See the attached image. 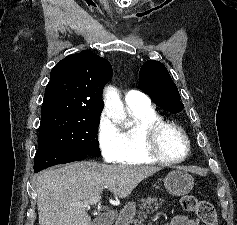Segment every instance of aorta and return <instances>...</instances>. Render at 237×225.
I'll return each instance as SVG.
<instances>
[{
	"label": "aorta",
	"mask_w": 237,
	"mask_h": 225,
	"mask_svg": "<svg viewBox=\"0 0 237 225\" xmlns=\"http://www.w3.org/2000/svg\"><path fill=\"white\" fill-rule=\"evenodd\" d=\"M104 111L107 116L114 122L121 123L126 121L127 116L120 100L118 91L113 86L106 87L104 91ZM127 126H131L132 122H127Z\"/></svg>",
	"instance_id": "762f6f07"
}]
</instances>
